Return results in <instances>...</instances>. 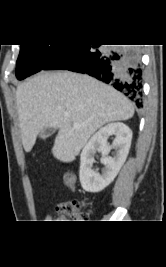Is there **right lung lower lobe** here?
Returning a JSON list of instances; mask_svg holds the SVG:
<instances>
[{"label": "right lung lower lobe", "mask_w": 166, "mask_h": 267, "mask_svg": "<svg viewBox=\"0 0 166 267\" xmlns=\"http://www.w3.org/2000/svg\"><path fill=\"white\" fill-rule=\"evenodd\" d=\"M42 70L88 74L142 104V69L136 48L120 50L100 45H65Z\"/></svg>", "instance_id": "right-lung-lower-lobe-1"}]
</instances>
